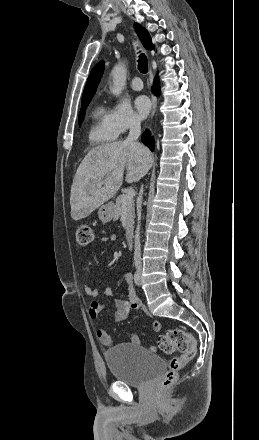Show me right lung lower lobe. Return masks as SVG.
<instances>
[{
  "instance_id": "obj_1",
  "label": "right lung lower lobe",
  "mask_w": 259,
  "mask_h": 440,
  "mask_svg": "<svg viewBox=\"0 0 259 440\" xmlns=\"http://www.w3.org/2000/svg\"><path fill=\"white\" fill-rule=\"evenodd\" d=\"M158 83H159L158 79L156 78L155 81H154V86H153V92L156 95H159V93H160V89H159ZM141 140L151 151L154 150V141H153V138L151 137V134H150V132L148 130H146L143 133Z\"/></svg>"
}]
</instances>
